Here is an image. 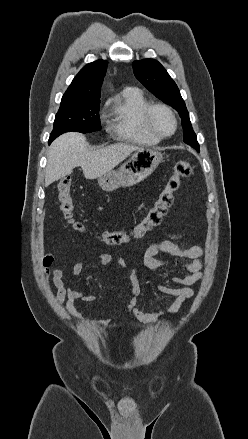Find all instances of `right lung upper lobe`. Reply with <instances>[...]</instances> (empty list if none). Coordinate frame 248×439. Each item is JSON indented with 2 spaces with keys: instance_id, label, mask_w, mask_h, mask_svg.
Returning a JSON list of instances; mask_svg holds the SVG:
<instances>
[{
  "instance_id": "cb5924a9",
  "label": "right lung upper lobe",
  "mask_w": 248,
  "mask_h": 439,
  "mask_svg": "<svg viewBox=\"0 0 248 439\" xmlns=\"http://www.w3.org/2000/svg\"><path fill=\"white\" fill-rule=\"evenodd\" d=\"M107 62L97 60L84 66L75 76L67 91L64 100H99L103 78L106 73Z\"/></svg>"
}]
</instances>
